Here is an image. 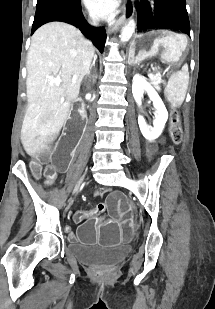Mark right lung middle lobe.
Masks as SVG:
<instances>
[{"label":"right lung middle lobe","instance_id":"1","mask_svg":"<svg viewBox=\"0 0 215 309\" xmlns=\"http://www.w3.org/2000/svg\"><path fill=\"white\" fill-rule=\"evenodd\" d=\"M79 10V0H37L35 18L55 12L75 13Z\"/></svg>","mask_w":215,"mask_h":309}]
</instances>
